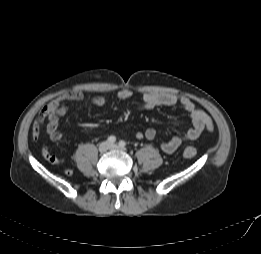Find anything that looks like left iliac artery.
<instances>
[{
  "instance_id": "left-iliac-artery-1",
  "label": "left iliac artery",
  "mask_w": 261,
  "mask_h": 254,
  "mask_svg": "<svg viewBox=\"0 0 261 254\" xmlns=\"http://www.w3.org/2000/svg\"><path fill=\"white\" fill-rule=\"evenodd\" d=\"M119 145L124 148L126 146V143H125V141H120Z\"/></svg>"
}]
</instances>
